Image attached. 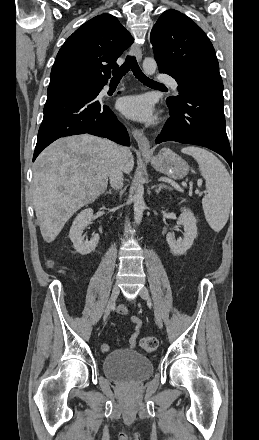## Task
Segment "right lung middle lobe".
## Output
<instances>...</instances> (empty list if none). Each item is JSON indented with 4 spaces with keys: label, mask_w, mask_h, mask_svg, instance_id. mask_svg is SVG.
<instances>
[{
    "label": "right lung middle lobe",
    "mask_w": 259,
    "mask_h": 440,
    "mask_svg": "<svg viewBox=\"0 0 259 440\" xmlns=\"http://www.w3.org/2000/svg\"><path fill=\"white\" fill-rule=\"evenodd\" d=\"M98 90L99 88H87V87H79V88H73L70 90H66V91H62V92H57V93H66V92H72V91H76V90Z\"/></svg>",
    "instance_id": "1"
}]
</instances>
